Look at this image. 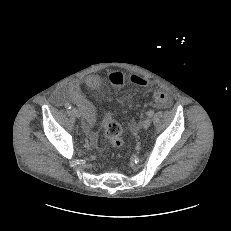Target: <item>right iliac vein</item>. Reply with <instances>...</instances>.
<instances>
[{"label":"right iliac vein","mask_w":231,"mask_h":231,"mask_svg":"<svg viewBox=\"0 0 231 231\" xmlns=\"http://www.w3.org/2000/svg\"><path fill=\"white\" fill-rule=\"evenodd\" d=\"M71 112H72L77 118H80V117H81V113H80V111H79L77 108L73 107V108L71 109Z\"/></svg>","instance_id":"1"}]
</instances>
